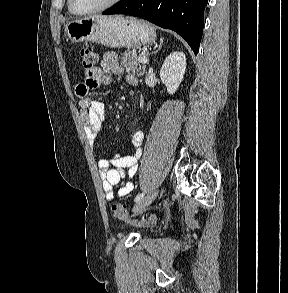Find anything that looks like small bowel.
I'll list each match as a JSON object with an SVG mask.
<instances>
[{"label": "small bowel", "mask_w": 288, "mask_h": 293, "mask_svg": "<svg viewBox=\"0 0 288 293\" xmlns=\"http://www.w3.org/2000/svg\"><path fill=\"white\" fill-rule=\"evenodd\" d=\"M111 73L123 75L130 85L137 84V78L129 72H124L114 52L104 54L100 67L91 72H85L84 80L76 86V95L80 98V117L88 142L93 145L106 119V109L103 102L90 96L91 90L108 86L111 83ZM144 134L137 131L133 134L131 144L134 151L131 155L115 153L111 157L98 162L102 188L108 201L128 195L134 188L133 178L137 172V163L142 155ZM116 188V193L114 192Z\"/></svg>", "instance_id": "1"}]
</instances>
